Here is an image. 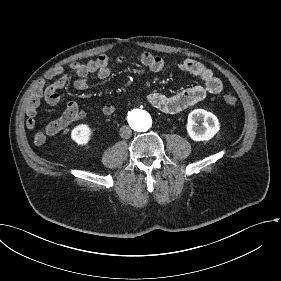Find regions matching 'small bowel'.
Returning a JSON list of instances; mask_svg holds the SVG:
<instances>
[{"mask_svg":"<svg viewBox=\"0 0 281 281\" xmlns=\"http://www.w3.org/2000/svg\"><path fill=\"white\" fill-rule=\"evenodd\" d=\"M143 66L154 73H159L165 68V61L156 55L142 52L132 54ZM128 56L123 55L115 58L113 61L105 54H101L95 60L86 63L73 62L70 68L74 71L77 79L74 81V87L78 90H84L88 87L89 77L96 74L100 79H106L111 74L112 65H123L127 63ZM176 68L183 74L198 77L201 83L181 91L175 95L167 96L159 92H150L147 95L148 103L158 111L174 115L185 111L194 104L203 100L209 95L219 94L223 90V82L214 72L200 62L185 59L177 63ZM68 74L62 67H55L48 71L45 76L46 81L53 80L47 86L41 83L37 88L26 108V126L29 130H35L37 127L36 115L37 109L42 100H45L51 106H64L62 115L49 122L44 132H37L34 135L33 143L41 146L46 140V136H55L66 129L75 121L82 120L85 117V111L82 110L75 101H64L60 96L59 90L68 82ZM116 112V106L107 103L101 107V113L107 116Z\"/></svg>","mask_w":281,"mask_h":281,"instance_id":"obj_1","label":"small bowel"}]
</instances>
